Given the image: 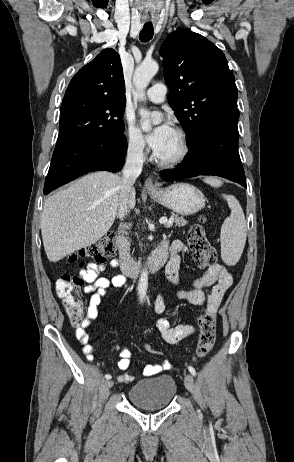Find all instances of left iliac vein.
Segmentation results:
<instances>
[{"label":"left iliac vein","mask_w":294,"mask_h":462,"mask_svg":"<svg viewBox=\"0 0 294 462\" xmlns=\"http://www.w3.org/2000/svg\"><path fill=\"white\" fill-rule=\"evenodd\" d=\"M184 384H185V387L188 389V391H190L191 393H194V390H195L194 380L190 374L185 375Z\"/></svg>","instance_id":"obj_1"}]
</instances>
